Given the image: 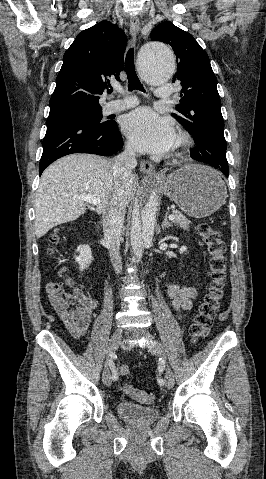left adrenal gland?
<instances>
[{
  "mask_svg": "<svg viewBox=\"0 0 266 479\" xmlns=\"http://www.w3.org/2000/svg\"><path fill=\"white\" fill-rule=\"evenodd\" d=\"M168 227H172V224L170 222H168L167 214H166L165 218H164V221L162 222L161 229L164 230L165 228H168Z\"/></svg>",
  "mask_w": 266,
  "mask_h": 479,
  "instance_id": "a2214340",
  "label": "left adrenal gland"
}]
</instances>
